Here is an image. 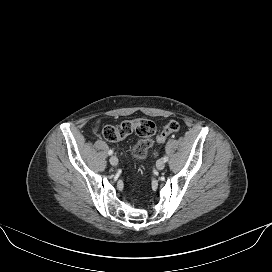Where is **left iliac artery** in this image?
Masks as SVG:
<instances>
[{
    "label": "left iliac artery",
    "mask_w": 272,
    "mask_h": 272,
    "mask_svg": "<svg viewBox=\"0 0 272 272\" xmlns=\"http://www.w3.org/2000/svg\"><path fill=\"white\" fill-rule=\"evenodd\" d=\"M163 161H164V162H167V161H168V157H167V156H164V157H163Z\"/></svg>",
    "instance_id": "1"
}]
</instances>
